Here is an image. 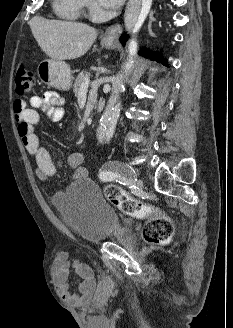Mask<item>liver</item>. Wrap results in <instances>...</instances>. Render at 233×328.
Masks as SVG:
<instances>
[{
	"mask_svg": "<svg viewBox=\"0 0 233 328\" xmlns=\"http://www.w3.org/2000/svg\"><path fill=\"white\" fill-rule=\"evenodd\" d=\"M31 29L43 52L54 60L83 56L97 38V30L89 25L42 17L32 20Z\"/></svg>",
	"mask_w": 233,
	"mask_h": 328,
	"instance_id": "liver-1",
	"label": "liver"
}]
</instances>
